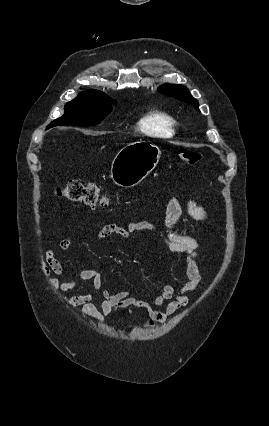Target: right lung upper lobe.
I'll list each match as a JSON object with an SVG mask.
<instances>
[{
  "label": "right lung upper lobe",
  "instance_id": "cb5924a9",
  "mask_svg": "<svg viewBox=\"0 0 269 426\" xmlns=\"http://www.w3.org/2000/svg\"><path fill=\"white\" fill-rule=\"evenodd\" d=\"M78 97H87V98H105L110 99L107 95H105L103 92L97 91V90H89L87 92H82L79 94Z\"/></svg>",
  "mask_w": 269,
  "mask_h": 426
}]
</instances>
